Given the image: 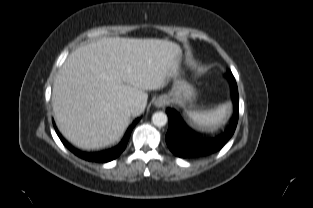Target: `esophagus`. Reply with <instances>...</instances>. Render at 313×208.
Returning a JSON list of instances; mask_svg holds the SVG:
<instances>
[{
  "mask_svg": "<svg viewBox=\"0 0 313 208\" xmlns=\"http://www.w3.org/2000/svg\"><path fill=\"white\" fill-rule=\"evenodd\" d=\"M163 104H164V99H163V98H157V99L155 100V105H156L157 107H161Z\"/></svg>",
  "mask_w": 313,
  "mask_h": 208,
  "instance_id": "obj_1",
  "label": "esophagus"
}]
</instances>
